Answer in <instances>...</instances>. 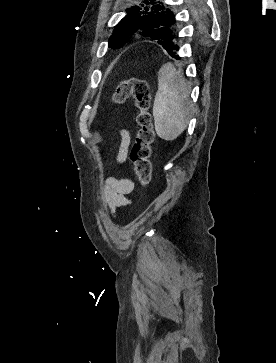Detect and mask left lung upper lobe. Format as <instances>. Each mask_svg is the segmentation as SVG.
<instances>
[{"instance_id":"5c2ea615","label":"left lung upper lobe","mask_w":276,"mask_h":363,"mask_svg":"<svg viewBox=\"0 0 276 363\" xmlns=\"http://www.w3.org/2000/svg\"><path fill=\"white\" fill-rule=\"evenodd\" d=\"M156 0H145L144 4L127 9V15L118 23L109 40V46L118 49L134 35L147 36L167 48L177 44L175 14Z\"/></svg>"}]
</instances>
